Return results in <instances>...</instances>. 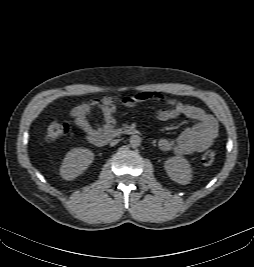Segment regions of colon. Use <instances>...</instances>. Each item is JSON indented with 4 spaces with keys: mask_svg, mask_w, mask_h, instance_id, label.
Masks as SVG:
<instances>
[{
    "mask_svg": "<svg viewBox=\"0 0 254 267\" xmlns=\"http://www.w3.org/2000/svg\"><path fill=\"white\" fill-rule=\"evenodd\" d=\"M69 130V124L66 122H52L46 130L45 137L49 141H54L65 135ZM215 161V153L207 151L203 154L201 162L205 166L211 165Z\"/></svg>",
    "mask_w": 254,
    "mask_h": 267,
    "instance_id": "5ec220e1",
    "label": "colon"
}]
</instances>
